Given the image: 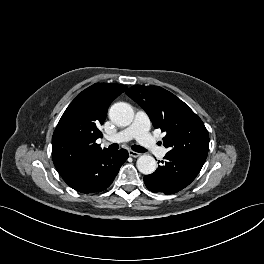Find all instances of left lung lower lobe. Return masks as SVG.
Returning a JSON list of instances; mask_svg holds the SVG:
<instances>
[{"label":"left lung lower lobe","mask_w":264,"mask_h":264,"mask_svg":"<svg viewBox=\"0 0 264 264\" xmlns=\"http://www.w3.org/2000/svg\"><path fill=\"white\" fill-rule=\"evenodd\" d=\"M203 164L177 154L167 153L157 170L144 176L146 187L156 193L174 194L188 186L198 175Z\"/></svg>","instance_id":"0a47b994"}]
</instances>
